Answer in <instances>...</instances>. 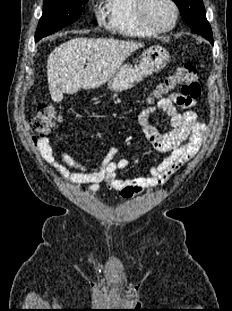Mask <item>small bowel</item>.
<instances>
[{"instance_id":"c3829d8e","label":"small bowel","mask_w":232,"mask_h":311,"mask_svg":"<svg viewBox=\"0 0 232 311\" xmlns=\"http://www.w3.org/2000/svg\"><path fill=\"white\" fill-rule=\"evenodd\" d=\"M196 101L182 93H173L143 108L138 115V123L150 145L159 152H168L157 165L150 168L148 176L123 179L118 172L130 166V160H113L116 150L97 164H87L76 160L69 153L51 144L47 136L33 138L43 160L60 177L72 183L89 184V191L96 192L104 183L123 198L141 195L146 189L164 184L170 176L180 170L198 152L206 134V127L198 120L192 108ZM157 110L163 111L170 119L172 130L161 133L150 123V116Z\"/></svg>"}]
</instances>
